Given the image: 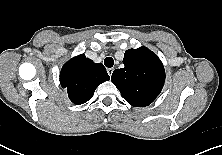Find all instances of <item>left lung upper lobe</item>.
I'll use <instances>...</instances> for the list:
<instances>
[{
	"label": "left lung upper lobe",
	"mask_w": 222,
	"mask_h": 155,
	"mask_svg": "<svg viewBox=\"0 0 222 155\" xmlns=\"http://www.w3.org/2000/svg\"><path fill=\"white\" fill-rule=\"evenodd\" d=\"M122 69L114 70L111 81L134 107L150 105L160 94L165 70L162 62L146 47L126 51Z\"/></svg>",
	"instance_id": "obj_1"
}]
</instances>
